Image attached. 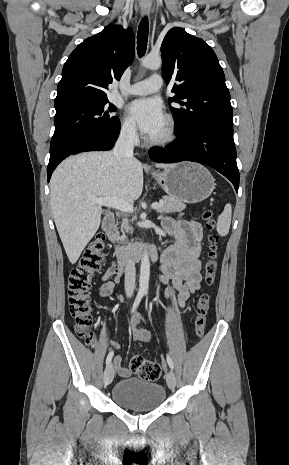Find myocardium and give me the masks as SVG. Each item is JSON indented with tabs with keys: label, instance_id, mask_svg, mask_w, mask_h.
<instances>
[{
	"label": "myocardium",
	"instance_id": "myocardium-1",
	"mask_svg": "<svg viewBox=\"0 0 289 465\" xmlns=\"http://www.w3.org/2000/svg\"><path fill=\"white\" fill-rule=\"evenodd\" d=\"M176 138V131L173 121L168 118L162 133L158 137L150 138L149 143L155 146H165L172 143Z\"/></svg>",
	"mask_w": 289,
	"mask_h": 465
}]
</instances>
